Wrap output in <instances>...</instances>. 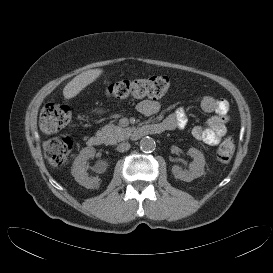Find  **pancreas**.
Segmentation results:
<instances>
[{"label":"pancreas","mask_w":273,"mask_h":273,"mask_svg":"<svg viewBox=\"0 0 273 273\" xmlns=\"http://www.w3.org/2000/svg\"><path fill=\"white\" fill-rule=\"evenodd\" d=\"M100 132L105 136L108 144H116L119 141L127 139L130 136L132 129L108 124L105 125Z\"/></svg>","instance_id":"obj_1"}]
</instances>
